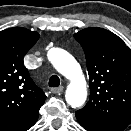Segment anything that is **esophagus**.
Wrapping results in <instances>:
<instances>
[{
  "label": "esophagus",
  "mask_w": 131,
  "mask_h": 131,
  "mask_svg": "<svg viewBox=\"0 0 131 131\" xmlns=\"http://www.w3.org/2000/svg\"><path fill=\"white\" fill-rule=\"evenodd\" d=\"M63 89H64L63 86H59V87H57V88H52V89H51V92H52L53 94H60V93H62Z\"/></svg>",
  "instance_id": "esophagus-1"
}]
</instances>
